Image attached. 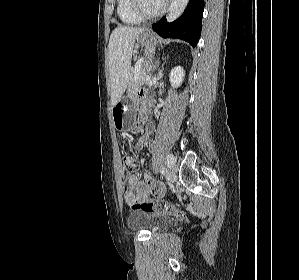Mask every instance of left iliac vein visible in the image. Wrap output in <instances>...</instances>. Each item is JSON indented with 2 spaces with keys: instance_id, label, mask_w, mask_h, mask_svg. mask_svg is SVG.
Segmentation results:
<instances>
[{
  "instance_id": "obj_1",
  "label": "left iliac vein",
  "mask_w": 299,
  "mask_h": 280,
  "mask_svg": "<svg viewBox=\"0 0 299 280\" xmlns=\"http://www.w3.org/2000/svg\"><path fill=\"white\" fill-rule=\"evenodd\" d=\"M176 179H177V168L174 166L170 170L169 181L172 184L176 181Z\"/></svg>"
}]
</instances>
